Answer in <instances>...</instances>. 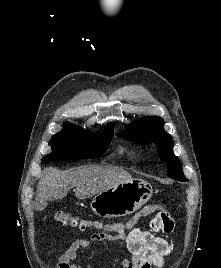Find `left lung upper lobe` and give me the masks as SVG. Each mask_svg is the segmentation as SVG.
I'll return each instance as SVG.
<instances>
[{"instance_id":"1","label":"left lung upper lobe","mask_w":221,"mask_h":268,"mask_svg":"<svg viewBox=\"0 0 221 268\" xmlns=\"http://www.w3.org/2000/svg\"><path fill=\"white\" fill-rule=\"evenodd\" d=\"M163 125L164 121L160 117H144L134 121L126 128V131L117 136L139 145L155 143L158 146L157 152L160 159L168 166V176L178 181H187L178 157L173 154V139L163 129Z\"/></svg>"}]
</instances>
